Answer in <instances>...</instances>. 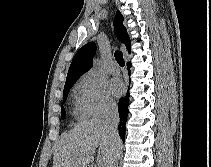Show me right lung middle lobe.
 Here are the masks:
<instances>
[{"label":"right lung middle lobe","instance_id":"obj_1","mask_svg":"<svg viewBox=\"0 0 211 167\" xmlns=\"http://www.w3.org/2000/svg\"><path fill=\"white\" fill-rule=\"evenodd\" d=\"M76 82V80H71V81H68L65 83V86H64V100L67 99V96H68V93H69V90L72 88L73 84ZM61 116L62 118L65 117V109L63 106H61Z\"/></svg>","mask_w":211,"mask_h":167}]
</instances>
